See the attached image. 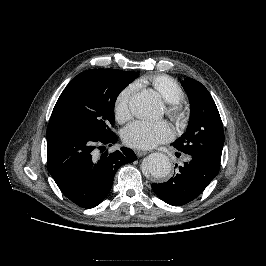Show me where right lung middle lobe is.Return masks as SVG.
<instances>
[{
    "label": "right lung middle lobe",
    "mask_w": 266,
    "mask_h": 266,
    "mask_svg": "<svg viewBox=\"0 0 266 266\" xmlns=\"http://www.w3.org/2000/svg\"><path fill=\"white\" fill-rule=\"evenodd\" d=\"M138 75L113 69H91L78 74L56 102L48 127H68L96 136L112 133L110 125L115 121L117 96Z\"/></svg>",
    "instance_id": "1"
}]
</instances>
